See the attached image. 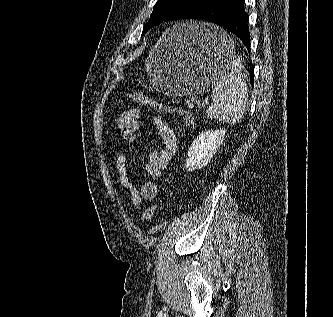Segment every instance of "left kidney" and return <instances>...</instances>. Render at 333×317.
Returning a JSON list of instances; mask_svg holds the SVG:
<instances>
[{"label":"left kidney","mask_w":333,"mask_h":317,"mask_svg":"<svg viewBox=\"0 0 333 317\" xmlns=\"http://www.w3.org/2000/svg\"><path fill=\"white\" fill-rule=\"evenodd\" d=\"M225 133L224 129H220L199 134L187 153L185 164L187 171L192 172L205 167L222 144Z\"/></svg>","instance_id":"left-kidney-1"}]
</instances>
